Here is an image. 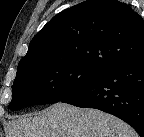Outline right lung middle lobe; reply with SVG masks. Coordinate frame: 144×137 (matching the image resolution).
<instances>
[{"instance_id": "dd1d6c3e", "label": "right lung middle lobe", "mask_w": 144, "mask_h": 137, "mask_svg": "<svg viewBox=\"0 0 144 137\" xmlns=\"http://www.w3.org/2000/svg\"><path fill=\"white\" fill-rule=\"evenodd\" d=\"M107 72L78 61H55L17 68L13 83V111L24 106L62 101Z\"/></svg>"}]
</instances>
